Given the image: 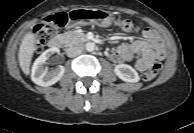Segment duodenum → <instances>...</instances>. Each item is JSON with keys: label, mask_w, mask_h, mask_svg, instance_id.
Instances as JSON below:
<instances>
[{"label": "duodenum", "mask_w": 194, "mask_h": 133, "mask_svg": "<svg viewBox=\"0 0 194 133\" xmlns=\"http://www.w3.org/2000/svg\"><path fill=\"white\" fill-rule=\"evenodd\" d=\"M72 41L74 43L81 42L82 44H85L87 41H89V39H87L86 37H81L80 35H76L72 38ZM62 44L63 38L60 35H58L51 39L49 46L51 48L58 49L62 46Z\"/></svg>", "instance_id": "obj_1"}]
</instances>
